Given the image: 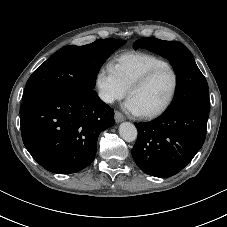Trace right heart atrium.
Listing matches in <instances>:
<instances>
[{"label":"right heart atrium","instance_id":"1","mask_svg":"<svg viewBox=\"0 0 227 227\" xmlns=\"http://www.w3.org/2000/svg\"><path fill=\"white\" fill-rule=\"evenodd\" d=\"M95 86L100 100L108 105L122 99L127 93V88L111 65H104L98 69L95 75Z\"/></svg>","mask_w":227,"mask_h":227}]
</instances>
